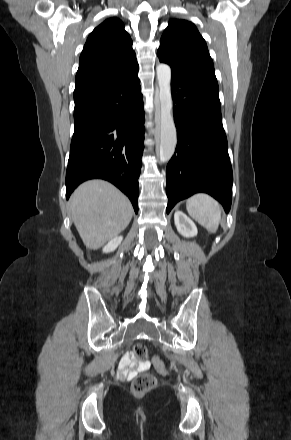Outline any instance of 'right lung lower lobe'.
Wrapping results in <instances>:
<instances>
[{
  "label": "right lung lower lobe",
  "mask_w": 291,
  "mask_h": 440,
  "mask_svg": "<svg viewBox=\"0 0 291 440\" xmlns=\"http://www.w3.org/2000/svg\"><path fill=\"white\" fill-rule=\"evenodd\" d=\"M138 70L117 80L74 90L75 130L66 171V198L83 181L105 179L138 213L144 110Z\"/></svg>",
  "instance_id": "98d812e1"
}]
</instances>
